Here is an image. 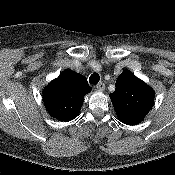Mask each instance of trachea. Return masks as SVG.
Wrapping results in <instances>:
<instances>
[{"instance_id": "3493384b", "label": "trachea", "mask_w": 175, "mask_h": 175, "mask_svg": "<svg viewBox=\"0 0 175 175\" xmlns=\"http://www.w3.org/2000/svg\"><path fill=\"white\" fill-rule=\"evenodd\" d=\"M100 81V76L98 73L94 72L93 74H91V76L89 77V82L90 84H98V82Z\"/></svg>"}]
</instances>
